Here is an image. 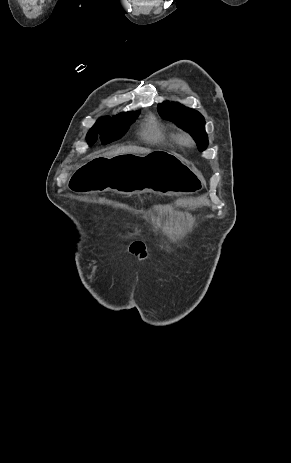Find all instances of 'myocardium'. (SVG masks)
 I'll list each match as a JSON object with an SVG mask.
<instances>
[{"mask_svg":"<svg viewBox=\"0 0 291 463\" xmlns=\"http://www.w3.org/2000/svg\"><path fill=\"white\" fill-rule=\"evenodd\" d=\"M181 140L185 143V144H190L191 143V137L188 135V134H183L181 136Z\"/></svg>","mask_w":291,"mask_h":463,"instance_id":"obj_1","label":"myocardium"}]
</instances>
